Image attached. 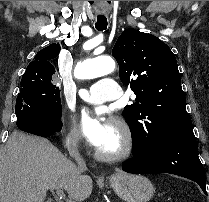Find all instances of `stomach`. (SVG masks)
Returning a JSON list of instances; mask_svg holds the SVG:
<instances>
[{
  "mask_svg": "<svg viewBox=\"0 0 209 202\" xmlns=\"http://www.w3.org/2000/svg\"><path fill=\"white\" fill-rule=\"evenodd\" d=\"M110 183L125 202H148L154 194L151 181L141 175L117 173L110 178Z\"/></svg>",
  "mask_w": 209,
  "mask_h": 202,
  "instance_id": "0dacf381",
  "label": "stomach"
}]
</instances>
